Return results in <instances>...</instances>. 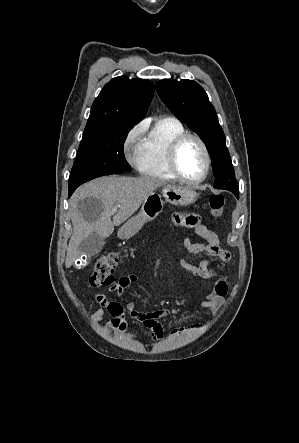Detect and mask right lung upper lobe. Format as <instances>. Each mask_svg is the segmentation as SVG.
<instances>
[{
    "label": "right lung upper lobe",
    "instance_id": "right-lung-upper-lobe-1",
    "mask_svg": "<svg viewBox=\"0 0 299 443\" xmlns=\"http://www.w3.org/2000/svg\"><path fill=\"white\" fill-rule=\"evenodd\" d=\"M153 93L154 84L149 80L113 78L95 99L84 133L137 124L146 115Z\"/></svg>",
    "mask_w": 299,
    "mask_h": 443
}]
</instances>
